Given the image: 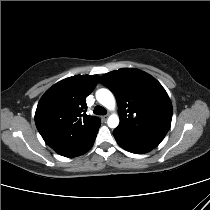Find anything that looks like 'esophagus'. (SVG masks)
Listing matches in <instances>:
<instances>
[{"mask_svg": "<svg viewBox=\"0 0 210 210\" xmlns=\"http://www.w3.org/2000/svg\"><path fill=\"white\" fill-rule=\"evenodd\" d=\"M101 120L105 122L107 120V115L101 116Z\"/></svg>", "mask_w": 210, "mask_h": 210, "instance_id": "obj_1", "label": "esophagus"}]
</instances>
